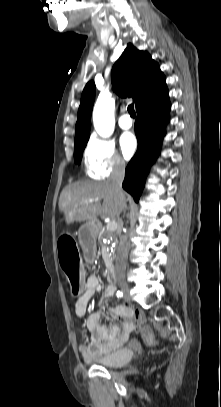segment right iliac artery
<instances>
[{
  "mask_svg": "<svg viewBox=\"0 0 221 407\" xmlns=\"http://www.w3.org/2000/svg\"><path fill=\"white\" fill-rule=\"evenodd\" d=\"M122 295H123L122 292H120V291L117 292V296H118V297H121Z\"/></svg>",
  "mask_w": 221,
  "mask_h": 407,
  "instance_id": "1",
  "label": "right iliac artery"
}]
</instances>
